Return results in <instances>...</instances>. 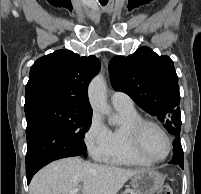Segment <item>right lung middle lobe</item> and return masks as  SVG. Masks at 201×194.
I'll list each match as a JSON object with an SVG mask.
<instances>
[{
    "mask_svg": "<svg viewBox=\"0 0 201 194\" xmlns=\"http://www.w3.org/2000/svg\"><path fill=\"white\" fill-rule=\"evenodd\" d=\"M27 122L44 118L65 128L83 139L91 124L92 114L77 110L71 104L53 98H43L25 104ZM82 155L87 156L84 150Z\"/></svg>",
    "mask_w": 201,
    "mask_h": 194,
    "instance_id": "dd1d6c3e",
    "label": "right lung middle lobe"
}]
</instances>
